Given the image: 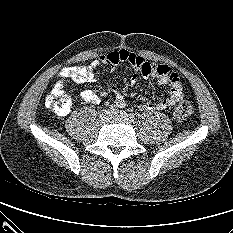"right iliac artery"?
<instances>
[{"mask_svg": "<svg viewBox=\"0 0 233 233\" xmlns=\"http://www.w3.org/2000/svg\"><path fill=\"white\" fill-rule=\"evenodd\" d=\"M109 110H110L111 112L116 111V110H117L116 105H113V104H112V105L110 106Z\"/></svg>", "mask_w": 233, "mask_h": 233, "instance_id": "82829eb1", "label": "right iliac artery"}]
</instances>
